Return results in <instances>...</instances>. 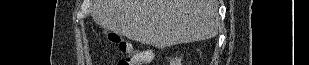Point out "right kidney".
<instances>
[{
  "label": "right kidney",
  "instance_id": "1",
  "mask_svg": "<svg viewBox=\"0 0 309 65\" xmlns=\"http://www.w3.org/2000/svg\"><path fill=\"white\" fill-rule=\"evenodd\" d=\"M171 64H173V65H181V59H175V60H172L171 61Z\"/></svg>",
  "mask_w": 309,
  "mask_h": 65
}]
</instances>
